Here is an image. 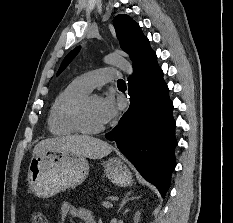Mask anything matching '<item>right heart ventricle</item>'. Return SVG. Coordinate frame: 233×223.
<instances>
[{
    "mask_svg": "<svg viewBox=\"0 0 233 223\" xmlns=\"http://www.w3.org/2000/svg\"><path fill=\"white\" fill-rule=\"evenodd\" d=\"M89 91L76 79L64 87L55 98L48 116V129L56 137L78 134L72 123V113L76 105Z\"/></svg>",
    "mask_w": 233,
    "mask_h": 223,
    "instance_id": "right-heart-ventricle-1",
    "label": "right heart ventricle"
}]
</instances>
